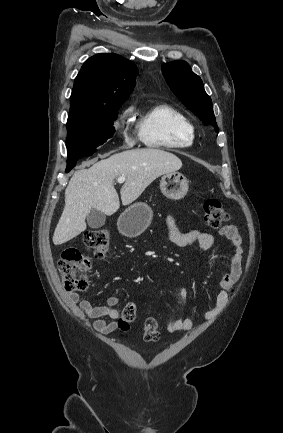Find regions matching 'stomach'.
<instances>
[{
	"mask_svg": "<svg viewBox=\"0 0 283 433\" xmlns=\"http://www.w3.org/2000/svg\"><path fill=\"white\" fill-rule=\"evenodd\" d=\"M161 192L167 198L179 200L188 192L189 184L186 176L180 172H167L161 176ZM153 210L145 202H134L124 212H121L118 219V231L125 237H138L146 229V221H151Z\"/></svg>",
	"mask_w": 283,
	"mask_h": 433,
	"instance_id": "obj_1",
	"label": "stomach"
}]
</instances>
